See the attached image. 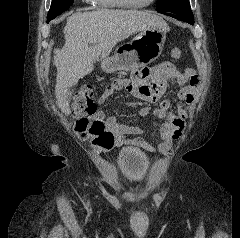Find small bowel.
I'll return each instance as SVG.
<instances>
[{
  "label": "small bowel",
  "instance_id": "1",
  "mask_svg": "<svg viewBox=\"0 0 240 238\" xmlns=\"http://www.w3.org/2000/svg\"><path fill=\"white\" fill-rule=\"evenodd\" d=\"M171 82L184 85V87L178 92L176 113L170 111L169 100H163L159 107L155 109V114L162 119L159 126L156 123L154 124L155 127L159 128L161 142L155 146L148 139L141 136H153L154 132H146L137 126L121 124L115 117L106 118L102 111H98L93 118L102 120L107 131L114 138L113 143L105 149L128 144L159 153H165L170 149L172 141L177 139L184 129L187 118L184 105L192 104L198 91L199 81L194 69L186 68L181 70L174 63L165 61L150 70L143 69L141 75L132 80H115L107 84L98 99V103L102 104L115 91L125 88L133 96L153 102L164 95L168 84ZM149 111V107L144 106L140 108L139 114L144 117L148 115Z\"/></svg>",
  "mask_w": 240,
  "mask_h": 238
}]
</instances>
